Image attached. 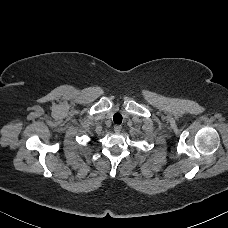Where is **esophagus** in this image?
Returning <instances> with one entry per match:
<instances>
[{"label": "esophagus", "instance_id": "esophagus-1", "mask_svg": "<svg viewBox=\"0 0 228 228\" xmlns=\"http://www.w3.org/2000/svg\"><path fill=\"white\" fill-rule=\"evenodd\" d=\"M121 129H122V126H120V125L114 126V131H115V133H117V134L120 133Z\"/></svg>", "mask_w": 228, "mask_h": 228}]
</instances>
